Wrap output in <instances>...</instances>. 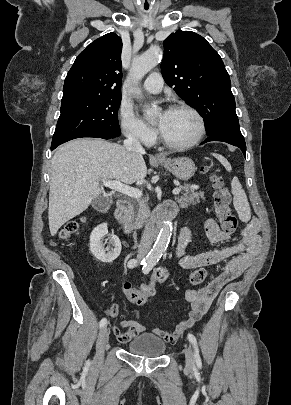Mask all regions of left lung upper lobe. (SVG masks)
Here are the masks:
<instances>
[{
	"instance_id": "5c2ea615",
	"label": "left lung upper lobe",
	"mask_w": 291,
	"mask_h": 405,
	"mask_svg": "<svg viewBox=\"0 0 291 405\" xmlns=\"http://www.w3.org/2000/svg\"><path fill=\"white\" fill-rule=\"evenodd\" d=\"M161 71L167 85L202 115L209 136L240 131L229 74L205 38L181 30L169 35Z\"/></svg>"
}]
</instances>
